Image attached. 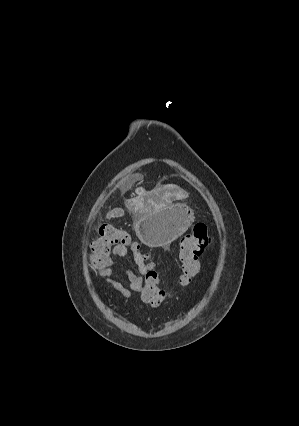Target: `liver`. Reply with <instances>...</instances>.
<instances>
[{"label":"liver","mask_w":299,"mask_h":426,"mask_svg":"<svg viewBox=\"0 0 299 426\" xmlns=\"http://www.w3.org/2000/svg\"><path fill=\"white\" fill-rule=\"evenodd\" d=\"M158 191H159V190H154L152 193L148 194V197H149V196H151L152 194H157V193H158ZM136 192H137V194H138V197H137L136 199L129 200L128 202H126V205L130 206V205H133V204H135V203H136V204H137V206H138V208H140V209L144 210V209H146L147 204H148V206H150L151 204H152V205L154 204V202H153V199H152V198H148V200H147V202H146V204H145L143 196H144V195H146V194H145V192H144V190H143V189H137V190H136ZM166 196H167V193H166ZM123 213H124L123 209H121V208H116V209L112 210V211H111V212L107 215V217H108V218L119 217V216L123 215Z\"/></svg>","instance_id":"6515ba94"}]
</instances>
